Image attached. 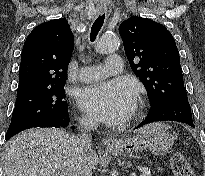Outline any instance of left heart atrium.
<instances>
[{"label": "left heart atrium", "instance_id": "left-heart-atrium-1", "mask_svg": "<svg viewBox=\"0 0 205 176\" xmlns=\"http://www.w3.org/2000/svg\"><path fill=\"white\" fill-rule=\"evenodd\" d=\"M81 108L109 124L124 121L135 109L137 91L125 79H114L83 88L79 92Z\"/></svg>", "mask_w": 205, "mask_h": 176}]
</instances>
